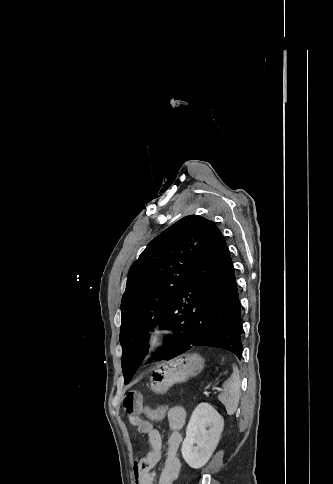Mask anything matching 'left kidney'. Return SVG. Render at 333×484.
I'll return each mask as SVG.
<instances>
[{"mask_svg": "<svg viewBox=\"0 0 333 484\" xmlns=\"http://www.w3.org/2000/svg\"><path fill=\"white\" fill-rule=\"evenodd\" d=\"M223 427V417L211 405L200 403L195 408L182 444V456L191 468L199 469L209 461Z\"/></svg>", "mask_w": 333, "mask_h": 484, "instance_id": "obj_1", "label": "left kidney"}]
</instances>
